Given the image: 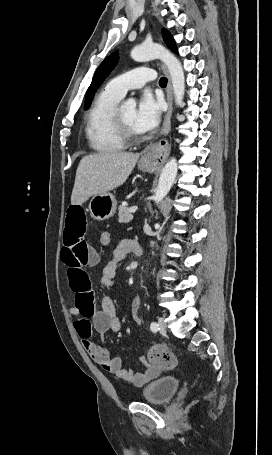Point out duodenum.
<instances>
[{"label":"duodenum","instance_id":"410a0bca","mask_svg":"<svg viewBox=\"0 0 272 455\" xmlns=\"http://www.w3.org/2000/svg\"><path fill=\"white\" fill-rule=\"evenodd\" d=\"M131 251L137 256L142 255V248L140 244L135 240L131 241Z\"/></svg>","mask_w":272,"mask_h":455}]
</instances>
